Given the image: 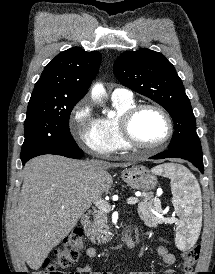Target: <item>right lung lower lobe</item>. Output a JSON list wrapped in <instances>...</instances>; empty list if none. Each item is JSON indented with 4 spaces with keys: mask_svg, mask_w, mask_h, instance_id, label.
Masks as SVG:
<instances>
[{
    "mask_svg": "<svg viewBox=\"0 0 215 274\" xmlns=\"http://www.w3.org/2000/svg\"><path fill=\"white\" fill-rule=\"evenodd\" d=\"M51 154L61 155V156H65V157H68V158H81L83 156L82 150L79 149L78 147L56 151V152H53ZM29 159H31V158H26V159H21V160H22V163L24 164Z\"/></svg>",
    "mask_w": 215,
    "mask_h": 274,
    "instance_id": "98d812e1",
    "label": "right lung lower lobe"
}]
</instances>
